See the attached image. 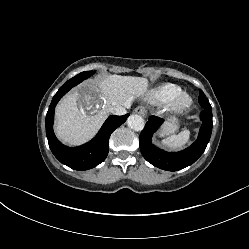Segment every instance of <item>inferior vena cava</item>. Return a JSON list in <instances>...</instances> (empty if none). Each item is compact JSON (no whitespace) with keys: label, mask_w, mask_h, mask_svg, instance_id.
<instances>
[{"label":"inferior vena cava","mask_w":249,"mask_h":249,"mask_svg":"<svg viewBox=\"0 0 249 249\" xmlns=\"http://www.w3.org/2000/svg\"><path fill=\"white\" fill-rule=\"evenodd\" d=\"M129 105L121 106L116 105L110 108V112L114 115H124L127 113L126 108H128Z\"/></svg>","instance_id":"obj_1"}]
</instances>
